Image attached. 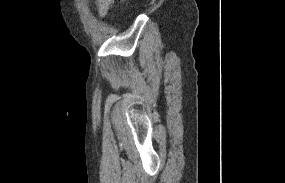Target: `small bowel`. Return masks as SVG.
Listing matches in <instances>:
<instances>
[{
  "label": "small bowel",
  "mask_w": 285,
  "mask_h": 183,
  "mask_svg": "<svg viewBox=\"0 0 285 183\" xmlns=\"http://www.w3.org/2000/svg\"><path fill=\"white\" fill-rule=\"evenodd\" d=\"M114 0H95V7L98 12V15L101 18H104L107 13L109 8L112 6Z\"/></svg>",
  "instance_id": "c3829d8e"
}]
</instances>
